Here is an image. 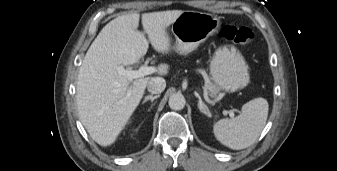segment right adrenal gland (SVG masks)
<instances>
[{"label": "right adrenal gland", "mask_w": 337, "mask_h": 171, "mask_svg": "<svg viewBox=\"0 0 337 171\" xmlns=\"http://www.w3.org/2000/svg\"><path fill=\"white\" fill-rule=\"evenodd\" d=\"M159 96H160V95H156V96L149 95V96H146L142 103H145V102H147V101H149V100L153 103V101H154L155 99L159 98Z\"/></svg>", "instance_id": "obj_1"}]
</instances>
